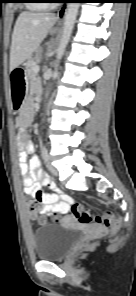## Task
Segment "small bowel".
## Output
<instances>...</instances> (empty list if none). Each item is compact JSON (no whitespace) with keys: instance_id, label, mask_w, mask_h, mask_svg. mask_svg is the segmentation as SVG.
<instances>
[{"instance_id":"small-bowel-1","label":"small bowel","mask_w":136,"mask_h":296,"mask_svg":"<svg viewBox=\"0 0 136 296\" xmlns=\"http://www.w3.org/2000/svg\"><path fill=\"white\" fill-rule=\"evenodd\" d=\"M34 102L32 98L27 101L24 109L20 112L16 119V123L21 132L17 138L18 143V160L19 169L22 177V185L24 192L33 196L36 200L43 204L41 213L46 216L52 214H66L71 198L63 194L53 182L49 175L42 169L39 159L32 155L35 151V146L29 140L26 134V128L31 123L34 114ZM49 186L51 191L46 192L43 187ZM36 220L38 217L30 216Z\"/></svg>"}]
</instances>
